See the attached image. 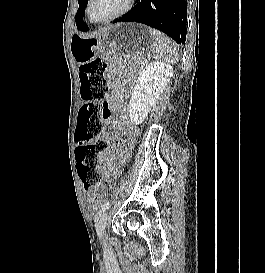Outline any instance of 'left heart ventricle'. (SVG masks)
Instances as JSON below:
<instances>
[{
  "label": "left heart ventricle",
  "mask_w": 265,
  "mask_h": 273,
  "mask_svg": "<svg viewBox=\"0 0 265 273\" xmlns=\"http://www.w3.org/2000/svg\"><path fill=\"white\" fill-rule=\"evenodd\" d=\"M127 0H92L91 17L93 19H104L121 10Z\"/></svg>",
  "instance_id": "left-heart-ventricle-1"
}]
</instances>
